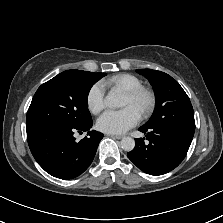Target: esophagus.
<instances>
[{
  "mask_svg": "<svg viewBox=\"0 0 223 223\" xmlns=\"http://www.w3.org/2000/svg\"><path fill=\"white\" fill-rule=\"evenodd\" d=\"M107 137H111V138H114V139H121L122 136L120 135H115V134H106Z\"/></svg>",
  "mask_w": 223,
  "mask_h": 223,
  "instance_id": "esophagus-1",
  "label": "esophagus"
}]
</instances>
